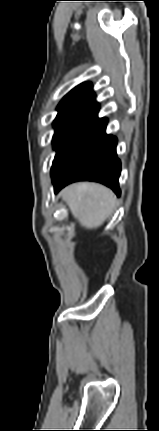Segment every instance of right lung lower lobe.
Returning <instances> with one entry per match:
<instances>
[{
	"mask_svg": "<svg viewBox=\"0 0 159 431\" xmlns=\"http://www.w3.org/2000/svg\"><path fill=\"white\" fill-rule=\"evenodd\" d=\"M106 125V118L87 123L57 150L51 169L55 193L69 183L89 180L105 184L120 195L117 138L106 134Z\"/></svg>",
	"mask_w": 159,
	"mask_h": 431,
	"instance_id": "right-lung-lower-lobe-1",
	"label": "right lung lower lobe"
}]
</instances>
